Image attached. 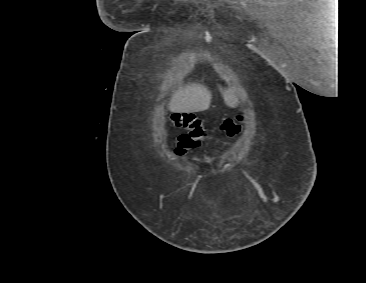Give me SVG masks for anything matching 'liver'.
I'll return each instance as SVG.
<instances>
[{"mask_svg": "<svg viewBox=\"0 0 366 283\" xmlns=\"http://www.w3.org/2000/svg\"><path fill=\"white\" fill-rule=\"evenodd\" d=\"M223 99L227 106L236 107L238 99L231 90L220 88ZM211 92L207 87L197 83H191L174 92L170 101V110L178 113H192L209 109Z\"/></svg>", "mask_w": 366, "mask_h": 283, "instance_id": "6515ba94", "label": "liver"}]
</instances>
